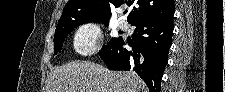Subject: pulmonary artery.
<instances>
[{
    "mask_svg": "<svg viewBox=\"0 0 225 92\" xmlns=\"http://www.w3.org/2000/svg\"><path fill=\"white\" fill-rule=\"evenodd\" d=\"M119 27H120V28H123V29L127 28V27H128V22H127V20L121 19V20L119 21Z\"/></svg>",
    "mask_w": 225,
    "mask_h": 92,
    "instance_id": "e3ab8cb5",
    "label": "pulmonary artery"
}]
</instances>
